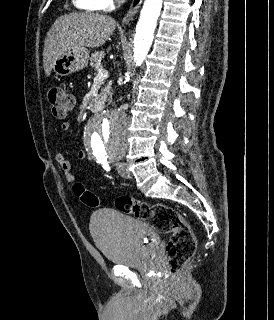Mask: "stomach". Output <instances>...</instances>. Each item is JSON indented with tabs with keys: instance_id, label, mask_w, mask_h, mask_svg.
Returning <instances> with one entry per match:
<instances>
[{
	"instance_id": "1",
	"label": "stomach",
	"mask_w": 274,
	"mask_h": 320,
	"mask_svg": "<svg viewBox=\"0 0 274 320\" xmlns=\"http://www.w3.org/2000/svg\"><path fill=\"white\" fill-rule=\"evenodd\" d=\"M89 52L86 48H68L62 52L53 64V72L56 76H69L73 72H79L88 66Z\"/></svg>"
}]
</instances>
